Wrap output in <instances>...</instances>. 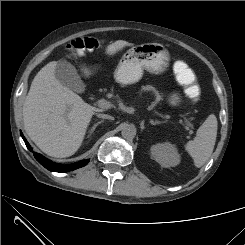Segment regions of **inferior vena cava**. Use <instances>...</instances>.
Masks as SVG:
<instances>
[{
  "instance_id": "1",
  "label": "inferior vena cava",
  "mask_w": 245,
  "mask_h": 245,
  "mask_svg": "<svg viewBox=\"0 0 245 245\" xmlns=\"http://www.w3.org/2000/svg\"><path fill=\"white\" fill-rule=\"evenodd\" d=\"M97 117L103 118V119H111V120L114 119L112 116L107 115V114H102V113H98V114H97Z\"/></svg>"
}]
</instances>
